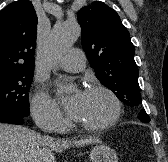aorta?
Instances as JSON below:
<instances>
[{
	"label": "aorta",
	"mask_w": 168,
	"mask_h": 162,
	"mask_svg": "<svg viewBox=\"0 0 168 162\" xmlns=\"http://www.w3.org/2000/svg\"><path fill=\"white\" fill-rule=\"evenodd\" d=\"M81 30L76 22H59L53 27L48 43L45 48V60L49 64H53L60 58L69 48L73 46Z\"/></svg>",
	"instance_id": "1"
}]
</instances>
